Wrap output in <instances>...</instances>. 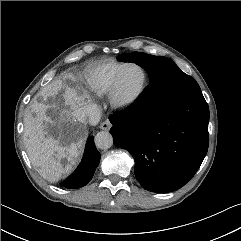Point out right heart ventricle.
Returning a JSON list of instances; mask_svg holds the SVG:
<instances>
[{
  "instance_id": "right-heart-ventricle-1",
  "label": "right heart ventricle",
  "mask_w": 241,
  "mask_h": 241,
  "mask_svg": "<svg viewBox=\"0 0 241 241\" xmlns=\"http://www.w3.org/2000/svg\"><path fill=\"white\" fill-rule=\"evenodd\" d=\"M125 64L116 61L94 63L83 70L81 77L89 92L101 97L109 93L114 76Z\"/></svg>"
}]
</instances>
